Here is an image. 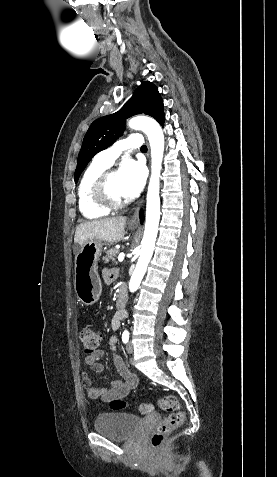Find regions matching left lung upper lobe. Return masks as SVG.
I'll return each instance as SVG.
<instances>
[{
  "instance_id": "1",
  "label": "left lung upper lobe",
  "mask_w": 277,
  "mask_h": 477,
  "mask_svg": "<svg viewBox=\"0 0 277 477\" xmlns=\"http://www.w3.org/2000/svg\"><path fill=\"white\" fill-rule=\"evenodd\" d=\"M136 114H146L164 123L163 101L157 87L143 82L128 102L117 112L95 120L83 139L75 170V182L92 157L112 145L123 133L127 118Z\"/></svg>"
}]
</instances>
